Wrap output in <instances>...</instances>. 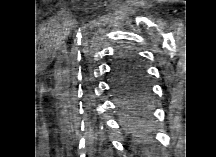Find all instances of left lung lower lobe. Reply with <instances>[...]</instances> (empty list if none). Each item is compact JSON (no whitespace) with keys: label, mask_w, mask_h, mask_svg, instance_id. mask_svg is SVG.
Masks as SVG:
<instances>
[{"label":"left lung lower lobe","mask_w":216,"mask_h":157,"mask_svg":"<svg viewBox=\"0 0 216 157\" xmlns=\"http://www.w3.org/2000/svg\"><path fill=\"white\" fill-rule=\"evenodd\" d=\"M112 87L119 99V105L122 113L129 120V123H136L138 119L133 114V107L131 106L134 95V88L132 86L123 85L119 83L116 79H114Z\"/></svg>","instance_id":"1"}]
</instances>
